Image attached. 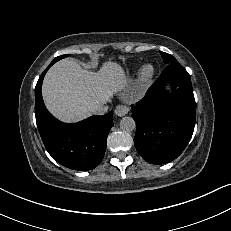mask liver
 <instances>
[{
    "label": "liver",
    "instance_id": "liver-1",
    "mask_svg": "<svg viewBox=\"0 0 231 231\" xmlns=\"http://www.w3.org/2000/svg\"><path fill=\"white\" fill-rule=\"evenodd\" d=\"M126 85L124 70L116 62L107 61L98 72H91L73 59H63L47 72L42 94L56 118L77 122L91 116L93 107L110 102Z\"/></svg>",
    "mask_w": 231,
    "mask_h": 231
}]
</instances>
